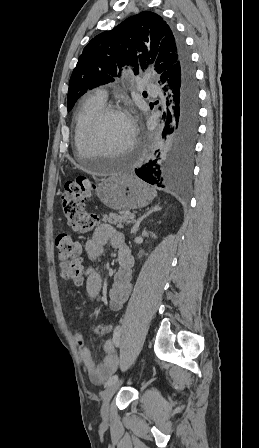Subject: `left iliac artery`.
I'll return each mask as SVG.
<instances>
[{
  "instance_id": "obj_1",
  "label": "left iliac artery",
  "mask_w": 259,
  "mask_h": 448,
  "mask_svg": "<svg viewBox=\"0 0 259 448\" xmlns=\"http://www.w3.org/2000/svg\"><path fill=\"white\" fill-rule=\"evenodd\" d=\"M121 331H122V328L120 325H118V326H116V328L114 329V332H113L112 342L116 348L120 347ZM117 380H118V375H113L108 379L106 385H110Z\"/></svg>"
}]
</instances>
